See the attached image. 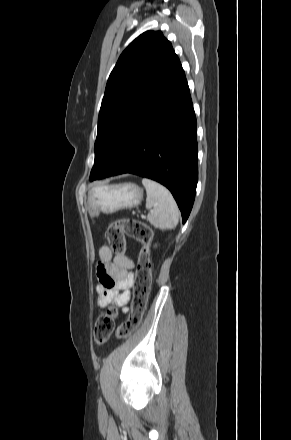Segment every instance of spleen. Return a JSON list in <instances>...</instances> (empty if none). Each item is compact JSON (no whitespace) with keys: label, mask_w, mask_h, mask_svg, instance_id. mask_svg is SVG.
<instances>
[{"label":"spleen","mask_w":291,"mask_h":440,"mask_svg":"<svg viewBox=\"0 0 291 440\" xmlns=\"http://www.w3.org/2000/svg\"><path fill=\"white\" fill-rule=\"evenodd\" d=\"M142 184L147 192L146 208L150 209L147 219L150 224L160 229L175 228L179 209L170 191L148 178H143Z\"/></svg>","instance_id":"obj_1"}]
</instances>
